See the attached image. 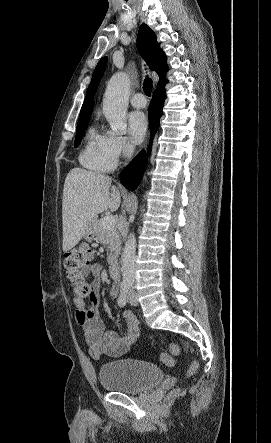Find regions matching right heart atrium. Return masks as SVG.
Masks as SVG:
<instances>
[{"label": "right heart atrium", "mask_w": 271, "mask_h": 443, "mask_svg": "<svg viewBox=\"0 0 271 443\" xmlns=\"http://www.w3.org/2000/svg\"><path fill=\"white\" fill-rule=\"evenodd\" d=\"M106 151L109 158L116 162L133 151L130 140L122 135L109 132L106 135Z\"/></svg>", "instance_id": "d8ad5b80"}]
</instances>
